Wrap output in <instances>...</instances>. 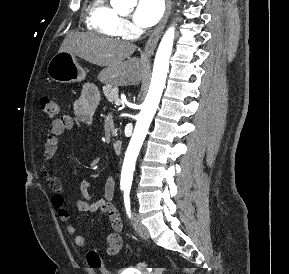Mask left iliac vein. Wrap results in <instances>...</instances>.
Here are the masks:
<instances>
[{"label": "left iliac vein", "mask_w": 289, "mask_h": 274, "mask_svg": "<svg viewBox=\"0 0 289 274\" xmlns=\"http://www.w3.org/2000/svg\"><path fill=\"white\" fill-rule=\"evenodd\" d=\"M132 224H133V227H134L135 231L137 232V234L140 237H142L144 239L149 238L148 229L146 228L145 225L142 224L139 216L136 213L132 214Z\"/></svg>", "instance_id": "obj_1"}]
</instances>
